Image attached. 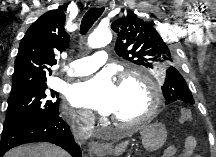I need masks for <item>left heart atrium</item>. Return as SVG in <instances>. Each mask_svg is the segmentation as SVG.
Here are the masks:
<instances>
[{
	"mask_svg": "<svg viewBox=\"0 0 216 157\" xmlns=\"http://www.w3.org/2000/svg\"><path fill=\"white\" fill-rule=\"evenodd\" d=\"M118 87L108 72L75 84L69 92V99L76 107L90 108L103 115L112 114L117 106Z\"/></svg>",
	"mask_w": 216,
	"mask_h": 157,
	"instance_id": "1",
	"label": "left heart atrium"
}]
</instances>
